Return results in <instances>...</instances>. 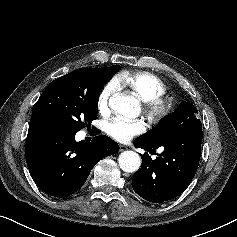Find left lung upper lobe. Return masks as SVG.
Returning a JSON list of instances; mask_svg holds the SVG:
<instances>
[{
  "label": "left lung upper lobe",
  "instance_id": "1",
  "mask_svg": "<svg viewBox=\"0 0 237 237\" xmlns=\"http://www.w3.org/2000/svg\"><path fill=\"white\" fill-rule=\"evenodd\" d=\"M197 109L189 102L179 105L176 111L160 120L157 127L139 138L150 145H161L176 138L185 131L194 121L198 120Z\"/></svg>",
  "mask_w": 237,
  "mask_h": 237
}]
</instances>
